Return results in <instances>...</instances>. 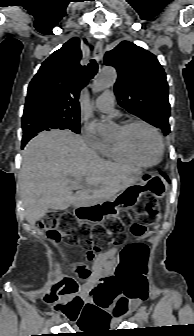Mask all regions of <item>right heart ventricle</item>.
I'll list each match as a JSON object with an SVG mask.
<instances>
[{
  "instance_id": "obj_1",
  "label": "right heart ventricle",
  "mask_w": 194,
  "mask_h": 336,
  "mask_svg": "<svg viewBox=\"0 0 194 336\" xmlns=\"http://www.w3.org/2000/svg\"><path fill=\"white\" fill-rule=\"evenodd\" d=\"M100 153L104 158L114 161L116 163L138 168L142 166L141 164L134 161L131 157H129L116 142L105 143V146Z\"/></svg>"
}]
</instances>
